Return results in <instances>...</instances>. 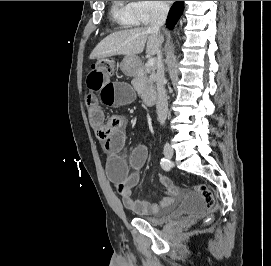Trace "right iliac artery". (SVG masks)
<instances>
[{"label":"right iliac artery","mask_w":271,"mask_h":266,"mask_svg":"<svg viewBox=\"0 0 271 266\" xmlns=\"http://www.w3.org/2000/svg\"><path fill=\"white\" fill-rule=\"evenodd\" d=\"M160 165L165 171H169L171 169V162L166 158L161 159Z\"/></svg>","instance_id":"right-iliac-artery-1"}]
</instances>
